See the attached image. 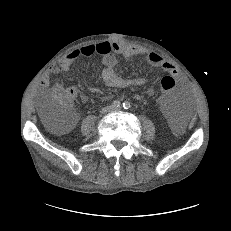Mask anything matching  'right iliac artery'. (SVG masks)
Returning a JSON list of instances; mask_svg holds the SVG:
<instances>
[{"label":"right iliac artery","instance_id":"obj_1","mask_svg":"<svg viewBox=\"0 0 231 231\" xmlns=\"http://www.w3.org/2000/svg\"><path fill=\"white\" fill-rule=\"evenodd\" d=\"M112 106L113 107H119L120 106V101H118V100L113 101Z\"/></svg>","mask_w":231,"mask_h":231}]
</instances>
